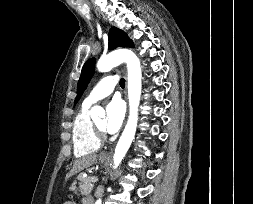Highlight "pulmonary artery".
<instances>
[{"label":"pulmonary artery","instance_id":"pulmonary-artery-1","mask_svg":"<svg viewBox=\"0 0 253 204\" xmlns=\"http://www.w3.org/2000/svg\"><path fill=\"white\" fill-rule=\"evenodd\" d=\"M118 75L102 78L84 100V104L92 105L110 95L118 83Z\"/></svg>","mask_w":253,"mask_h":204}]
</instances>
